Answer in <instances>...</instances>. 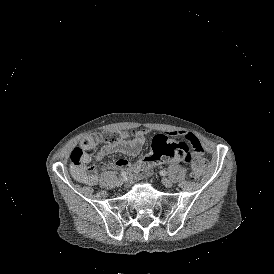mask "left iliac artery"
<instances>
[{
	"instance_id": "1",
	"label": "left iliac artery",
	"mask_w": 274,
	"mask_h": 274,
	"mask_svg": "<svg viewBox=\"0 0 274 274\" xmlns=\"http://www.w3.org/2000/svg\"><path fill=\"white\" fill-rule=\"evenodd\" d=\"M160 174H161L162 176H166V175H167V172H166L165 170H161V171H160Z\"/></svg>"
}]
</instances>
